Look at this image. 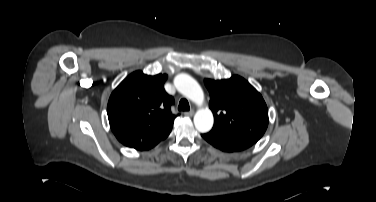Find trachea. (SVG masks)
Listing matches in <instances>:
<instances>
[{
	"instance_id": "trachea-1",
	"label": "trachea",
	"mask_w": 376,
	"mask_h": 202,
	"mask_svg": "<svg viewBox=\"0 0 376 202\" xmlns=\"http://www.w3.org/2000/svg\"><path fill=\"white\" fill-rule=\"evenodd\" d=\"M190 106L186 99H181L178 105V110L180 111H189Z\"/></svg>"
}]
</instances>
